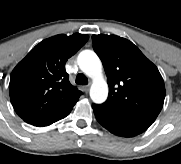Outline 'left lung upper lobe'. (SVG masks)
<instances>
[{
  "mask_svg": "<svg viewBox=\"0 0 181 164\" xmlns=\"http://www.w3.org/2000/svg\"><path fill=\"white\" fill-rule=\"evenodd\" d=\"M92 41L107 75L109 95L105 103L154 122L165 98L157 67L122 37L99 34L93 35Z\"/></svg>",
  "mask_w": 181,
  "mask_h": 164,
  "instance_id": "1",
  "label": "left lung upper lobe"
}]
</instances>
